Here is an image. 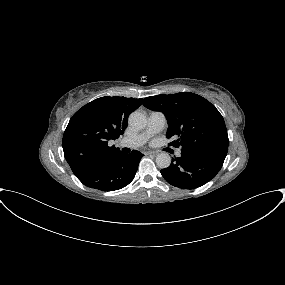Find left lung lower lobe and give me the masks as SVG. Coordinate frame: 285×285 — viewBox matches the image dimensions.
I'll return each instance as SVG.
<instances>
[{"label":"left lung lower lobe","mask_w":285,"mask_h":285,"mask_svg":"<svg viewBox=\"0 0 285 285\" xmlns=\"http://www.w3.org/2000/svg\"><path fill=\"white\" fill-rule=\"evenodd\" d=\"M225 158L208 153L182 152L171 165L161 170L164 179L181 189H194L212 180L220 171Z\"/></svg>","instance_id":"left-lung-lower-lobe-1"}]
</instances>
